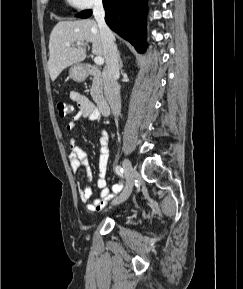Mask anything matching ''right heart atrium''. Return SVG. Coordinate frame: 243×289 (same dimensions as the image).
I'll return each instance as SVG.
<instances>
[{"label":"right heart atrium","instance_id":"obj_1","mask_svg":"<svg viewBox=\"0 0 243 289\" xmlns=\"http://www.w3.org/2000/svg\"><path fill=\"white\" fill-rule=\"evenodd\" d=\"M66 1L69 5H71L76 9L85 10L100 5L103 0H66Z\"/></svg>","mask_w":243,"mask_h":289}]
</instances>
